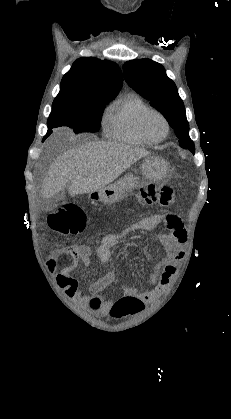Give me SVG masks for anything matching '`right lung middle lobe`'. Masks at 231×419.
<instances>
[{
    "instance_id": "1",
    "label": "right lung middle lobe",
    "mask_w": 231,
    "mask_h": 419,
    "mask_svg": "<svg viewBox=\"0 0 231 419\" xmlns=\"http://www.w3.org/2000/svg\"><path fill=\"white\" fill-rule=\"evenodd\" d=\"M111 99H75L58 96L52 104V111L48 118V131L59 126H68L75 133L97 132L106 104ZM43 139V141H44Z\"/></svg>"
}]
</instances>
